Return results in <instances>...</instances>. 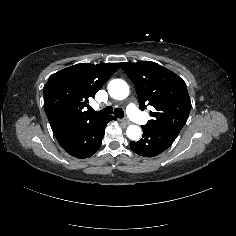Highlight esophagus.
I'll return each instance as SVG.
<instances>
[{
  "mask_svg": "<svg viewBox=\"0 0 236 236\" xmlns=\"http://www.w3.org/2000/svg\"><path fill=\"white\" fill-rule=\"evenodd\" d=\"M120 122L125 123L126 125L130 124L128 119H121Z\"/></svg>",
  "mask_w": 236,
  "mask_h": 236,
  "instance_id": "1",
  "label": "esophagus"
}]
</instances>
